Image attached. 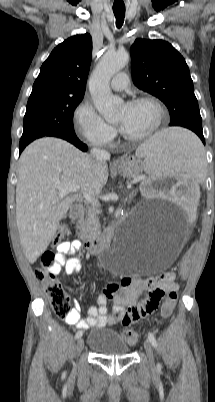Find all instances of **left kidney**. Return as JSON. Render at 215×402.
I'll return each mask as SVG.
<instances>
[{
	"instance_id": "1",
	"label": "left kidney",
	"mask_w": 215,
	"mask_h": 402,
	"mask_svg": "<svg viewBox=\"0 0 215 402\" xmlns=\"http://www.w3.org/2000/svg\"><path fill=\"white\" fill-rule=\"evenodd\" d=\"M144 193H164L166 200H174L175 204L188 203L186 220L192 221L194 209L199 208L198 185L189 182L182 175H150L143 179Z\"/></svg>"
}]
</instances>
